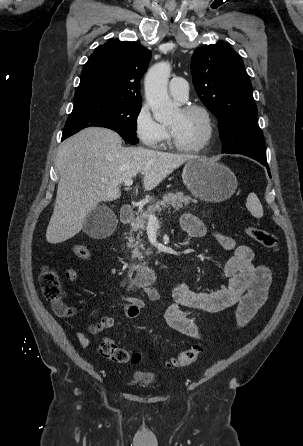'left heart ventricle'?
I'll list each match as a JSON object with an SVG mask.
<instances>
[{"label": "left heart ventricle", "instance_id": "obj_1", "mask_svg": "<svg viewBox=\"0 0 303 446\" xmlns=\"http://www.w3.org/2000/svg\"><path fill=\"white\" fill-rule=\"evenodd\" d=\"M167 126L176 141L186 146L199 143L206 133V124L201 114L197 112L185 113L181 109L172 115Z\"/></svg>", "mask_w": 303, "mask_h": 446}]
</instances>
